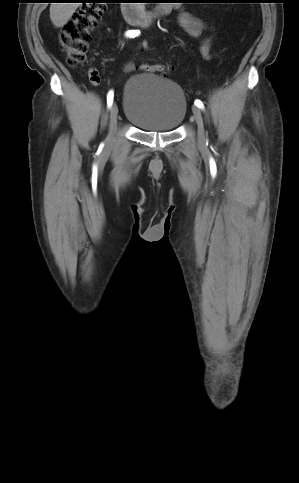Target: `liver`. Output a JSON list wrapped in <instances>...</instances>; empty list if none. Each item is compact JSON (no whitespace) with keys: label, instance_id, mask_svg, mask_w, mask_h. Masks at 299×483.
Returning <instances> with one entry per match:
<instances>
[{"label":"liver","instance_id":"obj_1","mask_svg":"<svg viewBox=\"0 0 299 483\" xmlns=\"http://www.w3.org/2000/svg\"><path fill=\"white\" fill-rule=\"evenodd\" d=\"M80 3H51L50 19L55 27H63L72 17Z\"/></svg>","mask_w":299,"mask_h":483}]
</instances>
